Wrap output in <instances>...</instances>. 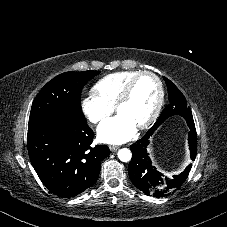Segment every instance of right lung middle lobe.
<instances>
[{
  "label": "right lung middle lobe",
  "mask_w": 227,
  "mask_h": 227,
  "mask_svg": "<svg viewBox=\"0 0 227 227\" xmlns=\"http://www.w3.org/2000/svg\"><path fill=\"white\" fill-rule=\"evenodd\" d=\"M99 73L100 71L66 72L53 78L34 99L28 128L53 118H69L86 123L80 104L81 91Z\"/></svg>",
  "instance_id": "dd1d6c3e"
}]
</instances>
